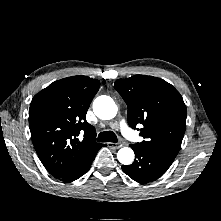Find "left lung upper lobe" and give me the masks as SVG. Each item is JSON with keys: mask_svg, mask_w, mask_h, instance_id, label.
Masks as SVG:
<instances>
[{"mask_svg": "<svg viewBox=\"0 0 221 221\" xmlns=\"http://www.w3.org/2000/svg\"><path fill=\"white\" fill-rule=\"evenodd\" d=\"M128 107V123L142 124L137 145L176 157L186 129V106L180 93L163 79L135 75L114 84Z\"/></svg>", "mask_w": 221, "mask_h": 221, "instance_id": "1", "label": "left lung upper lobe"}]
</instances>
